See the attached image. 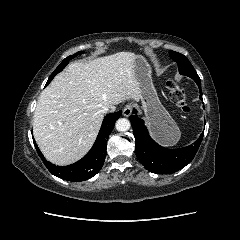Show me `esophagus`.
I'll return each instance as SVG.
<instances>
[{
  "label": "esophagus",
  "mask_w": 240,
  "mask_h": 240,
  "mask_svg": "<svg viewBox=\"0 0 240 240\" xmlns=\"http://www.w3.org/2000/svg\"><path fill=\"white\" fill-rule=\"evenodd\" d=\"M133 106L131 104H128L123 109V115L125 117H129L132 114Z\"/></svg>",
  "instance_id": "34e87169"
}]
</instances>
